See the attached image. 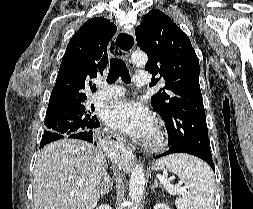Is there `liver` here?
Here are the masks:
<instances>
[{
    "instance_id": "obj_1",
    "label": "liver",
    "mask_w": 253,
    "mask_h": 209,
    "mask_svg": "<svg viewBox=\"0 0 253 209\" xmlns=\"http://www.w3.org/2000/svg\"><path fill=\"white\" fill-rule=\"evenodd\" d=\"M106 169L105 154L88 142L63 139L48 144L34 169V209H94Z\"/></svg>"
}]
</instances>
